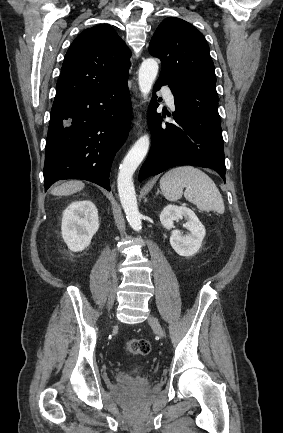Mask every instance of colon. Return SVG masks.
Listing matches in <instances>:
<instances>
[{"label": "colon", "mask_w": 283, "mask_h": 433, "mask_svg": "<svg viewBox=\"0 0 283 433\" xmlns=\"http://www.w3.org/2000/svg\"><path fill=\"white\" fill-rule=\"evenodd\" d=\"M150 350V342L146 339H130L124 346V352L128 356H145Z\"/></svg>", "instance_id": "colon-1"}]
</instances>
